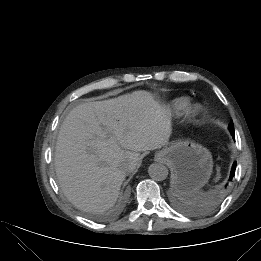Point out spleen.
Segmentation results:
<instances>
[{"label": "spleen", "instance_id": "spleen-1", "mask_svg": "<svg viewBox=\"0 0 261 261\" xmlns=\"http://www.w3.org/2000/svg\"><path fill=\"white\" fill-rule=\"evenodd\" d=\"M181 196L183 199L188 200V201H195L197 199V195L193 194H186V193H181Z\"/></svg>", "mask_w": 261, "mask_h": 261}]
</instances>
